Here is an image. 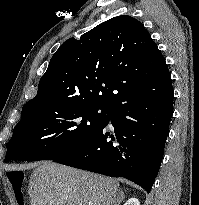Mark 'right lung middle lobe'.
I'll use <instances>...</instances> for the list:
<instances>
[{
  "label": "right lung middle lobe",
  "mask_w": 199,
  "mask_h": 205,
  "mask_svg": "<svg viewBox=\"0 0 199 205\" xmlns=\"http://www.w3.org/2000/svg\"><path fill=\"white\" fill-rule=\"evenodd\" d=\"M107 113V108L67 102L25 106L7 144L5 162L63 157L99 131Z\"/></svg>",
  "instance_id": "obj_1"
}]
</instances>
